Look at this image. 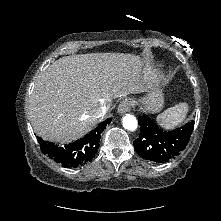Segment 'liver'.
Wrapping results in <instances>:
<instances>
[{"mask_svg":"<svg viewBox=\"0 0 221 221\" xmlns=\"http://www.w3.org/2000/svg\"><path fill=\"white\" fill-rule=\"evenodd\" d=\"M148 84L144 63L133 54L62 57L35 84L29 104L34 131L44 140L69 143L98 124L97 108L142 92Z\"/></svg>","mask_w":221,"mask_h":221,"instance_id":"obj_1","label":"liver"}]
</instances>
